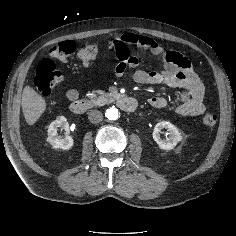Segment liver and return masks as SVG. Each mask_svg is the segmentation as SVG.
<instances>
[{"label": "liver", "mask_w": 236, "mask_h": 236, "mask_svg": "<svg viewBox=\"0 0 236 236\" xmlns=\"http://www.w3.org/2000/svg\"><path fill=\"white\" fill-rule=\"evenodd\" d=\"M45 110V99L32 87L25 86L22 93V111L28 125H34Z\"/></svg>", "instance_id": "6515ba94"}]
</instances>
